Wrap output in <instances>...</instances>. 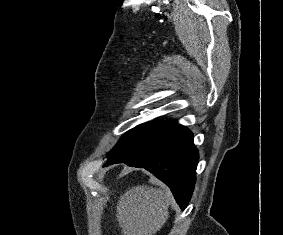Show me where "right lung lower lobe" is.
<instances>
[{
	"label": "right lung lower lobe",
	"mask_w": 283,
	"mask_h": 235,
	"mask_svg": "<svg viewBox=\"0 0 283 235\" xmlns=\"http://www.w3.org/2000/svg\"><path fill=\"white\" fill-rule=\"evenodd\" d=\"M198 159L191 131L177 125L148 150L122 162L153 173L170 187L177 203L185 209L194 189Z\"/></svg>",
	"instance_id": "obj_1"
}]
</instances>
